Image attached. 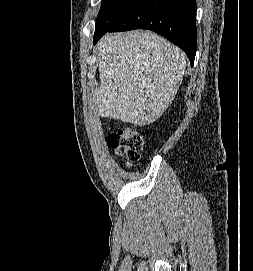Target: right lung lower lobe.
Here are the masks:
<instances>
[{"instance_id": "98d812e1", "label": "right lung lower lobe", "mask_w": 253, "mask_h": 271, "mask_svg": "<svg viewBox=\"0 0 253 271\" xmlns=\"http://www.w3.org/2000/svg\"><path fill=\"white\" fill-rule=\"evenodd\" d=\"M196 0H134L111 28L94 35V44L107 32L149 29L171 41L194 64L197 44Z\"/></svg>"}]
</instances>
